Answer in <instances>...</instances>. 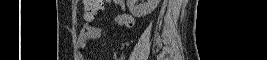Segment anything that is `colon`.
<instances>
[{
  "instance_id": "colon-1",
  "label": "colon",
  "mask_w": 267,
  "mask_h": 60,
  "mask_svg": "<svg viewBox=\"0 0 267 60\" xmlns=\"http://www.w3.org/2000/svg\"><path fill=\"white\" fill-rule=\"evenodd\" d=\"M103 0H85L83 1L84 19L91 21L103 11Z\"/></svg>"
}]
</instances>
